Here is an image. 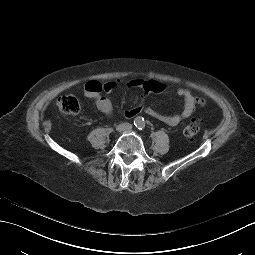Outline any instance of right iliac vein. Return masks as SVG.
<instances>
[{
    "mask_svg": "<svg viewBox=\"0 0 255 255\" xmlns=\"http://www.w3.org/2000/svg\"><path fill=\"white\" fill-rule=\"evenodd\" d=\"M124 129H125V126H124L123 124L118 125L117 128H116V130H117L118 132H121V131H123Z\"/></svg>",
    "mask_w": 255,
    "mask_h": 255,
    "instance_id": "1",
    "label": "right iliac vein"
}]
</instances>
